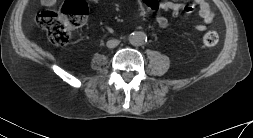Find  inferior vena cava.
I'll list each match as a JSON object with an SVG mask.
<instances>
[{"instance_id":"602c4592","label":"inferior vena cava","mask_w":253,"mask_h":138,"mask_svg":"<svg viewBox=\"0 0 253 138\" xmlns=\"http://www.w3.org/2000/svg\"><path fill=\"white\" fill-rule=\"evenodd\" d=\"M119 43L120 41L118 39H111L107 41L106 45L108 48H115L119 45Z\"/></svg>"}]
</instances>
